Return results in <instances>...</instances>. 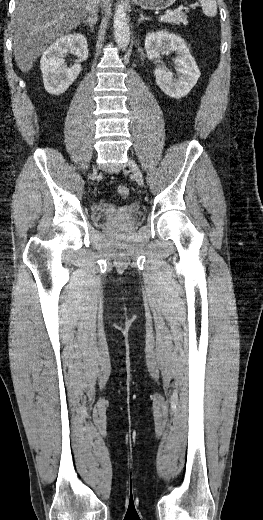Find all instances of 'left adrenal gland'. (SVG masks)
I'll return each instance as SVG.
<instances>
[{
    "instance_id": "1",
    "label": "left adrenal gland",
    "mask_w": 263,
    "mask_h": 520,
    "mask_svg": "<svg viewBox=\"0 0 263 520\" xmlns=\"http://www.w3.org/2000/svg\"><path fill=\"white\" fill-rule=\"evenodd\" d=\"M144 20H148V21H150L151 19L148 18V17H146V16L141 12V13H140V18H139V20H138V23H140V22H142V21H144Z\"/></svg>"
}]
</instances>
